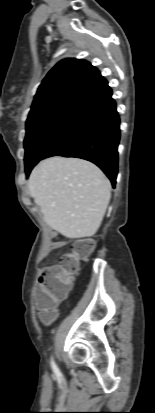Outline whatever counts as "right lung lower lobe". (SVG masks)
I'll return each mask as SVG.
<instances>
[{"label":"right lung lower lobe","instance_id":"right-lung-lower-lobe-1","mask_svg":"<svg viewBox=\"0 0 155 413\" xmlns=\"http://www.w3.org/2000/svg\"><path fill=\"white\" fill-rule=\"evenodd\" d=\"M119 124L116 103L107 85L78 105L65 130L42 159L63 156L91 161L103 170L115 187ZM32 168L26 171L27 175Z\"/></svg>","mask_w":155,"mask_h":413}]
</instances>
